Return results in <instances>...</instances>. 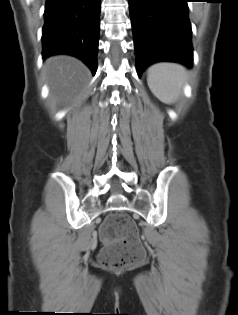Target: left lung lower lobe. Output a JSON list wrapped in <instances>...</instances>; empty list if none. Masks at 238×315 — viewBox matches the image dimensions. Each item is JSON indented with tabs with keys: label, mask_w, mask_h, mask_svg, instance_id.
<instances>
[{
	"label": "left lung lower lobe",
	"mask_w": 238,
	"mask_h": 315,
	"mask_svg": "<svg viewBox=\"0 0 238 315\" xmlns=\"http://www.w3.org/2000/svg\"><path fill=\"white\" fill-rule=\"evenodd\" d=\"M137 72L160 61L192 66L188 0H128Z\"/></svg>",
	"instance_id": "left-lung-lower-lobe-1"
}]
</instances>
